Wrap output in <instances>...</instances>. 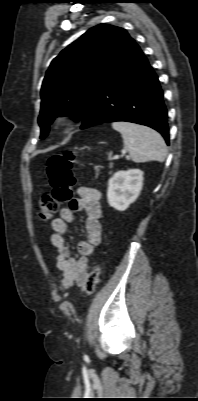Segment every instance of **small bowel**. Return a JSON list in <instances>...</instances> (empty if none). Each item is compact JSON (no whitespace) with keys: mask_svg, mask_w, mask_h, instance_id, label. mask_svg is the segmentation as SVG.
<instances>
[{"mask_svg":"<svg viewBox=\"0 0 198 401\" xmlns=\"http://www.w3.org/2000/svg\"><path fill=\"white\" fill-rule=\"evenodd\" d=\"M77 193L78 198L72 200L68 207L62 208L59 216L52 221L51 244L57 252L56 267L63 289L85 286L89 277V258L95 253L102 239L100 191L81 186ZM77 212H84L87 216L85 228L88 240L79 242L78 256H72L66 235L68 224L74 221Z\"/></svg>","mask_w":198,"mask_h":401,"instance_id":"small-bowel-1","label":"small bowel"}]
</instances>
